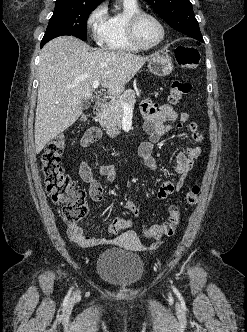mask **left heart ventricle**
Here are the masks:
<instances>
[{"mask_svg":"<svg viewBox=\"0 0 247 332\" xmlns=\"http://www.w3.org/2000/svg\"><path fill=\"white\" fill-rule=\"evenodd\" d=\"M137 37L144 45L156 43L161 38V28L151 17H144L137 26Z\"/></svg>","mask_w":247,"mask_h":332,"instance_id":"obj_1","label":"left heart ventricle"}]
</instances>
